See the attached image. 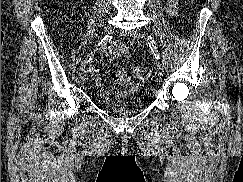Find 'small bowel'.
Instances as JSON below:
<instances>
[{
	"label": "small bowel",
	"mask_w": 243,
	"mask_h": 182,
	"mask_svg": "<svg viewBox=\"0 0 243 182\" xmlns=\"http://www.w3.org/2000/svg\"><path fill=\"white\" fill-rule=\"evenodd\" d=\"M177 4L178 0H168L167 11L170 15H174L176 13ZM103 52L110 58V60H115L126 53L127 48L121 42L114 41L108 46H105L103 48ZM91 74L95 85L99 88L103 87L101 71L98 65L95 64L91 67ZM113 86V93H127L135 88V85L129 79L126 71L124 70H119L116 72Z\"/></svg>",
	"instance_id": "1"
}]
</instances>
